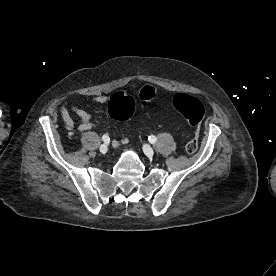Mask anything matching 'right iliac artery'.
<instances>
[{
  "label": "right iliac artery",
  "mask_w": 276,
  "mask_h": 276,
  "mask_svg": "<svg viewBox=\"0 0 276 276\" xmlns=\"http://www.w3.org/2000/svg\"><path fill=\"white\" fill-rule=\"evenodd\" d=\"M102 140H103L105 143H109L110 138H109L108 135H103Z\"/></svg>",
  "instance_id": "82829eb1"
}]
</instances>
